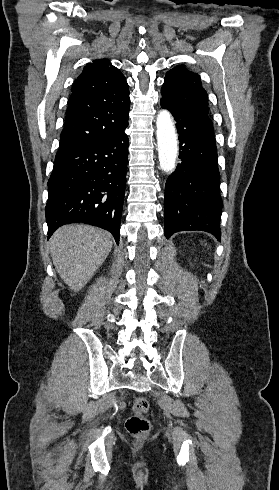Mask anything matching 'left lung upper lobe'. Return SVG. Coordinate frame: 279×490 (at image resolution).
<instances>
[{"mask_svg":"<svg viewBox=\"0 0 279 490\" xmlns=\"http://www.w3.org/2000/svg\"><path fill=\"white\" fill-rule=\"evenodd\" d=\"M162 99L171 105L200 116L210 117L208 95L200 76L182 67L167 72L161 89Z\"/></svg>","mask_w":279,"mask_h":490,"instance_id":"left-lung-upper-lobe-1","label":"left lung upper lobe"}]
</instances>
